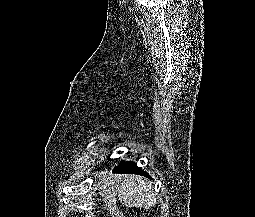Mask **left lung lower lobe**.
Instances as JSON below:
<instances>
[{"label": "left lung lower lobe", "instance_id": "1", "mask_svg": "<svg viewBox=\"0 0 255 217\" xmlns=\"http://www.w3.org/2000/svg\"><path fill=\"white\" fill-rule=\"evenodd\" d=\"M114 173L119 174H139L145 177H149V174L143 171L140 167L136 165L134 162H123L114 168Z\"/></svg>", "mask_w": 255, "mask_h": 217}]
</instances>
